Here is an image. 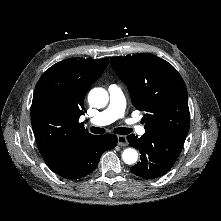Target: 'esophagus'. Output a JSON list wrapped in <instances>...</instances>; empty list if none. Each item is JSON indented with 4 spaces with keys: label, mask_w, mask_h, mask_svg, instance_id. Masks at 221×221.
<instances>
[{
    "label": "esophagus",
    "mask_w": 221,
    "mask_h": 221,
    "mask_svg": "<svg viewBox=\"0 0 221 221\" xmlns=\"http://www.w3.org/2000/svg\"><path fill=\"white\" fill-rule=\"evenodd\" d=\"M117 140H118V144L120 146H127L128 145L127 138L124 135H118Z\"/></svg>",
    "instance_id": "obj_1"
}]
</instances>
